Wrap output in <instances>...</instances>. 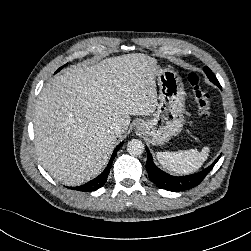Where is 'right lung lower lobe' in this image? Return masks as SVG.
<instances>
[{
	"mask_svg": "<svg viewBox=\"0 0 251 251\" xmlns=\"http://www.w3.org/2000/svg\"><path fill=\"white\" fill-rule=\"evenodd\" d=\"M122 144L123 143H120L115 148L107 167L105 168V170L98 177H96L95 179H93V180H91V181H89V182H87V183H85V184H83L81 186L71 187V189L79 190V191H83V192H92V191H95V190L99 189L100 187H102L107 181L113 159L115 158L116 153H117L118 149L120 148V146Z\"/></svg>",
	"mask_w": 251,
	"mask_h": 251,
	"instance_id": "right-lung-lower-lobe-1",
	"label": "right lung lower lobe"
}]
</instances>
